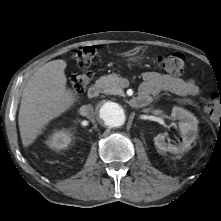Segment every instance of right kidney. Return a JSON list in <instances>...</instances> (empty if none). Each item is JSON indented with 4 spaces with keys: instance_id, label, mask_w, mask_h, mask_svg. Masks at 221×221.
<instances>
[{
    "instance_id": "obj_1",
    "label": "right kidney",
    "mask_w": 221,
    "mask_h": 221,
    "mask_svg": "<svg viewBox=\"0 0 221 221\" xmlns=\"http://www.w3.org/2000/svg\"><path fill=\"white\" fill-rule=\"evenodd\" d=\"M71 142V134L68 131L60 130L54 132L48 139L47 145L52 149H64Z\"/></svg>"
}]
</instances>
